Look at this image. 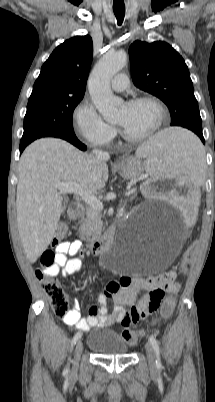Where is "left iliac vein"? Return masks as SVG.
I'll list each match as a JSON object with an SVG mask.
<instances>
[{"instance_id":"4c4485c4","label":"left iliac vein","mask_w":215,"mask_h":402,"mask_svg":"<svg viewBox=\"0 0 215 402\" xmlns=\"http://www.w3.org/2000/svg\"><path fill=\"white\" fill-rule=\"evenodd\" d=\"M145 350H146V354H147L149 367L151 370H155L156 364H155V357H154L152 345L150 343H146Z\"/></svg>"}]
</instances>
